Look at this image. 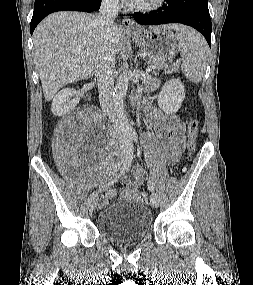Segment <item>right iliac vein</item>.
<instances>
[{
	"instance_id": "right-iliac-vein-1",
	"label": "right iliac vein",
	"mask_w": 253,
	"mask_h": 285,
	"mask_svg": "<svg viewBox=\"0 0 253 285\" xmlns=\"http://www.w3.org/2000/svg\"><path fill=\"white\" fill-rule=\"evenodd\" d=\"M122 155H125V150L122 151ZM97 203H98V192L95 191L89 196L88 199V207L90 211H93L96 208Z\"/></svg>"
}]
</instances>
